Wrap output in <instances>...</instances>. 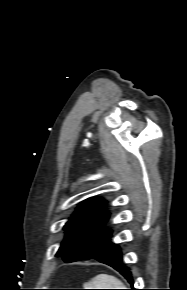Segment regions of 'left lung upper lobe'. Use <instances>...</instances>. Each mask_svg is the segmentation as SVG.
<instances>
[{"label": "left lung upper lobe", "instance_id": "left-lung-upper-lobe-1", "mask_svg": "<svg viewBox=\"0 0 187 290\" xmlns=\"http://www.w3.org/2000/svg\"><path fill=\"white\" fill-rule=\"evenodd\" d=\"M106 201L90 198L81 203L65 224V238L56 254L65 262L88 260L107 243L111 230L104 228L109 213L104 210Z\"/></svg>", "mask_w": 187, "mask_h": 290}]
</instances>
